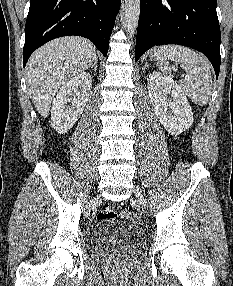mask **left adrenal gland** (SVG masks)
Returning a JSON list of instances; mask_svg holds the SVG:
<instances>
[{"instance_id": "a2214340", "label": "left adrenal gland", "mask_w": 233, "mask_h": 286, "mask_svg": "<svg viewBox=\"0 0 233 286\" xmlns=\"http://www.w3.org/2000/svg\"><path fill=\"white\" fill-rule=\"evenodd\" d=\"M146 67H149L148 63H145V65L142 69L145 70Z\"/></svg>"}]
</instances>
